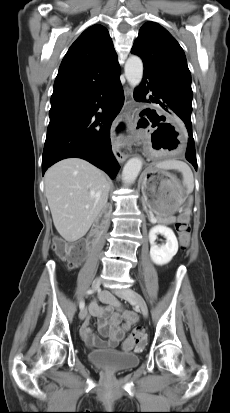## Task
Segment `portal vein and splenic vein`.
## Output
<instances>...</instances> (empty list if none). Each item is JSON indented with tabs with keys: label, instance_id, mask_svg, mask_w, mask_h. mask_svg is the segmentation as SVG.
<instances>
[{
	"label": "portal vein and splenic vein",
	"instance_id": "1",
	"mask_svg": "<svg viewBox=\"0 0 230 413\" xmlns=\"http://www.w3.org/2000/svg\"><path fill=\"white\" fill-rule=\"evenodd\" d=\"M152 222H156V219H155V218H153V219H152Z\"/></svg>",
	"mask_w": 230,
	"mask_h": 413
}]
</instances>
